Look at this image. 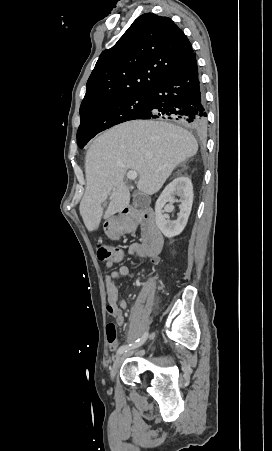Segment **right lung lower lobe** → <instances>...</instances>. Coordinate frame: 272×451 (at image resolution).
Returning a JSON list of instances; mask_svg holds the SVG:
<instances>
[{"instance_id":"98d812e1","label":"right lung lower lobe","mask_w":272,"mask_h":451,"mask_svg":"<svg viewBox=\"0 0 272 451\" xmlns=\"http://www.w3.org/2000/svg\"><path fill=\"white\" fill-rule=\"evenodd\" d=\"M206 117L196 55L193 53L150 91L148 108L136 119L177 120L194 131H204Z\"/></svg>"}]
</instances>
